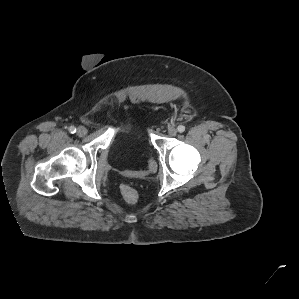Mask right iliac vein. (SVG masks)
Here are the masks:
<instances>
[{"label":"right iliac vein","mask_w":299,"mask_h":299,"mask_svg":"<svg viewBox=\"0 0 299 299\" xmlns=\"http://www.w3.org/2000/svg\"><path fill=\"white\" fill-rule=\"evenodd\" d=\"M87 132H88L87 129L85 127H83V126H80L77 129V135L79 137H84L87 134Z\"/></svg>","instance_id":"obj_1"}]
</instances>
